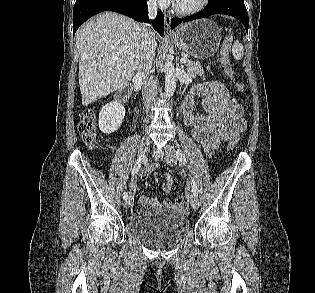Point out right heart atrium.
I'll use <instances>...</instances> for the list:
<instances>
[{"instance_id":"right-heart-atrium-1","label":"right heart atrium","mask_w":315,"mask_h":293,"mask_svg":"<svg viewBox=\"0 0 315 293\" xmlns=\"http://www.w3.org/2000/svg\"><path fill=\"white\" fill-rule=\"evenodd\" d=\"M150 1L153 2V3L158 4L161 7H163V6H165L167 4L168 0H150Z\"/></svg>"}]
</instances>
